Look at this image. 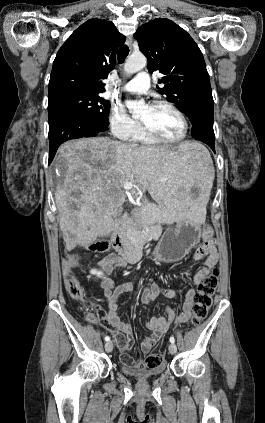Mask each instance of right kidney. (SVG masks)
Returning <instances> with one entry per match:
<instances>
[{"label": "right kidney", "instance_id": "obj_1", "mask_svg": "<svg viewBox=\"0 0 265 423\" xmlns=\"http://www.w3.org/2000/svg\"><path fill=\"white\" fill-rule=\"evenodd\" d=\"M91 274L97 275V276H102L103 275V273L101 271H97L96 269L91 270Z\"/></svg>", "mask_w": 265, "mask_h": 423}]
</instances>
